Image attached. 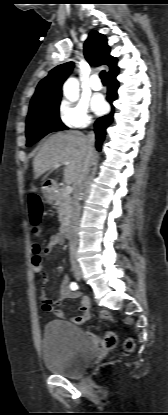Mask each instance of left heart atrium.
I'll return each mask as SVG.
<instances>
[{"mask_svg": "<svg viewBox=\"0 0 168 415\" xmlns=\"http://www.w3.org/2000/svg\"><path fill=\"white\" fill-rule=\"evenodd\" d=\"M92 108L97 114H103L107 110V104L102 96H96L92 101Z\"/></svg>", "mask_w": 168, "mask_h": 415, "instance_id": "obj_1", "label": "left heart atrium"}]
</instances>
